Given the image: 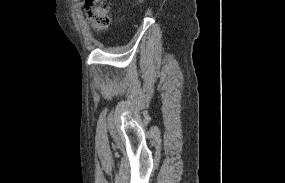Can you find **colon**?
Returning <instances> with one entry per match:
<instances>
[{
    "instance_id": "1",
    "label": "colon",
    "mask_w": 285,
    "mask_h": 183,
    "mask_svg": "<svg viewBox=\"0 0 285 183\" xmlns=\"http://www.w3.org/2000/svg\"><path fill=\"white\" fill-rule=\"evenodd\" d=\"M110 0H86L85 11L96 30H105L110 24Z\"/></svg>"
}]
</instances>
